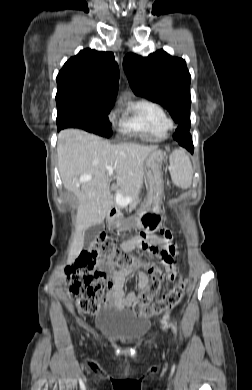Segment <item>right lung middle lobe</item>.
<instances>
[{
	"label": "right lung middle lobe",
	"mask_w": 252,
	"mask_h": 390,
	"mask_svg": "<svg viewBox=\"0 0 252 390\" xmlns=\"http://www.w3.org/2000/svg\"><path fill=\"white\" fill-rule=\"evenodd\" d=\"M112 108L108 104L67 103L57 106L58 131L68 128H81L88 132L110 137L112 130L107 113Z\"/></svg>",
	"instance_id": "dd1d6c3e"
}]
</instances>
